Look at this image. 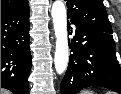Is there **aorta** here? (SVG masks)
<instances>
[{
  "instance_id": "obj_1",
  "label": "aorta",
  "mask_w": 121,
  "mask_h": 94,
  "mask_svg": "<svg viewBox=\"0 0 121 94\" xmlns=\"http://www.w3.org/2000/svg\"><path fill=\"white\" fill-rule=\"evenodd\" d=\"M51 15L56 36L55 70L58 74H62L66 70L69 60L67 14L62 0L54 1Z\"/></svg>"
}]
</instances>
